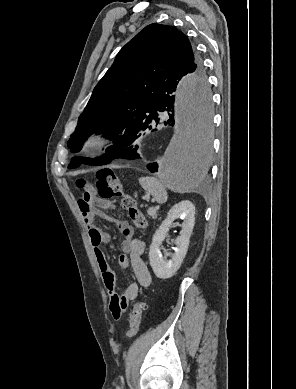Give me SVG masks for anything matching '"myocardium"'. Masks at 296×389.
<instances>
[{
	"label": "myocardium",
	"mask_w": 296,
	"mask_h": 389,
	"mask_svg": "<svg viewBox=\"0 0 296 389\" xmlns=\"http://www.w3.org/2000/svg\"><path fill=\"white\" fill-rule=\"evenodd\" d=\"M106 141V137L102 134L89 135L82 143V150L85 154L93 156L105 145Z\"/></svg>",
	"instance_id": "obj_1"
}]
</instances>
